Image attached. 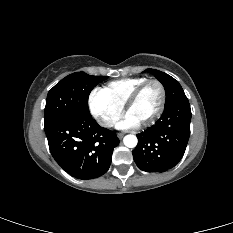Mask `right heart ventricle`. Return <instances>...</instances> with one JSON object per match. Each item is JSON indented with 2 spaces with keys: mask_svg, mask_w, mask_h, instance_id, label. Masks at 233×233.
Wrapping results in <instances>:
<instances>
[{
  "mask_svg": "<svg viewBox=\"0 0 233 233\" xmlns=\"http://www.w3.org/2000/svg\"><path fill=\"white\" fill-rule=\"evenodd\" d=\"M148 80L145 77H134L109 82L102 90L114 103L124 106L126 100L136 87Z\"/></svg>",
  "mask_w": 233,
  "mask_h": 233,
  "instance_id": "e07e8e85",
  "label": "right heart ventricle"
}]
</instances>
